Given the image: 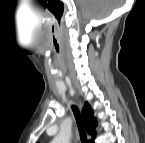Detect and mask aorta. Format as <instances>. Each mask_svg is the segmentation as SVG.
Wrapping results in <instances>:
<instances>
[{
	"mask_svg": "<svg viewBox=\"0 0 145 143\" xmlns=\"http://www.w3.org/2000/svg\"><path fill=\"white\" fill-rule=\"evenodd\" d=\"M69 134L61 132L53 140L54 143H68Z\"/></svg>",
	"mask_w": 145,
	"mask_h": 143,
	"instance_id": "762f6f07",
	"label": "aorta"
}]
</instances>
